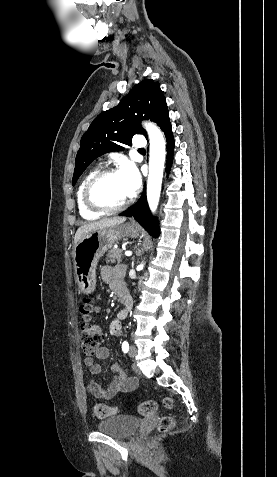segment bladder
Segmentation results:
<instances>
[{
    "label": "bladder",
    "mask_w": 277,
    "mask_h": 477,
    "mask_svg": "<svg viewBox=\"0 0 277 477\" xmlns=\"http://www.w3.org/2000/svg\"><path fill=\"white\" fill-rule=\"evenodd\" d=\"M140 421L131 415H111L101 420L97 428L99 432L114 438L123 439L132 435L139 427Z\"/></svg>",
    "instance_id": "1"
}]
</instances>
